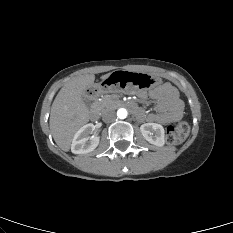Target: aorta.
Wrapping results in <instances>:
<instances>
[{
	"instance_id": "aorta-1",
	"label": "aorta",
	"mask_w": 233,
	"mask_h": 233,
	"mask_svg": "<svg viewBox=\"0 0 233 233\" xmlns=\"http://www.w3.org/2000/svg\"><path fill=\"white\" fill-rule=\"evenodd\" d=\"M127 110L126 109H124V108H120V109H118V111H117V117L119 118V119H125L126 117H127Z\"/></svg>"
}]
</instances>
